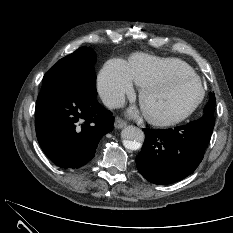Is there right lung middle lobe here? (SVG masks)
Instances as JSON below:
<instances>
[{
    "instance_id": "right-lung-middle-lobe-1",
    "label": "right lung middle lobe",
    "mask_w": 233,
    "mask_h": 233,
    "mask_svg": "<svg viewBox=\"0 0 233 233\" xmlns=\"http://www.w3.org/2000/svg\"><path fill=\"white\" fill-rule=\"evenodd\" d=\"M96 54L93 49L81 47L72 54L61 59L44 76L45 81H64L96 88L94 64Z\"/></svg>"
}]
</instances>
